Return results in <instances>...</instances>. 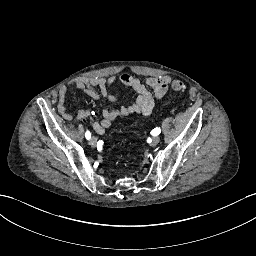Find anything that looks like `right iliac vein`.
<instances>
[{"label":"right iliac vein","mask_w":256,"mask_h":256,"mask_svg":"<svg viewBox=\"0 0 256 256\" xmlns=\"http://www.w3.org/2000/svg\"><path fill=\"white\" fill-rule=\"evenodd\" d=\"M89 144H90L92 147H95L96 144H97V139L93 136L92 138H90Z\"/></svg>","instance_id":"obj_1"}]
</instances>
